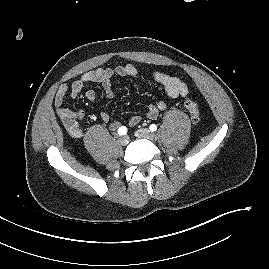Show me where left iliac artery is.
I'll return each mask as SVG.
<instances>
[{
    "mask_svg": "<svg viewBox=\"0 0 269 269\" xmlns=\"http://www.w3.org/2000/svg\"><path fill=\"white\" fill-rule=\"evenodd\" d=\"M149 129L153 132V131H156L157 129V126L155 124H151Z\"/></svg>",
    "mask_w": 269,
    "mask_h": 269,
    "instance_id": "obj_1",
    "label": "left iliac artery"
}]
</instances>
